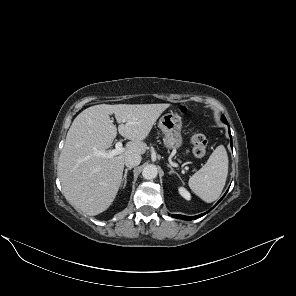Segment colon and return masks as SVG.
<instances>
[{"label": "colon", "mask_w": 296, "mask_h": 296, "mask_svg": "<svg viewBox=\"0 0 296 296\" xmlns=\"http://www.w3.org/2000/svg\"><path fill=\"white\" fill-rule=\"evenodd\" d=\"M182 112L186 111L185 107H180ZM193 153L196 157H203L206 153L207 139L203 134H195L191 138Z\"/></svg>", "instance_id": "1"}]
</instances>
